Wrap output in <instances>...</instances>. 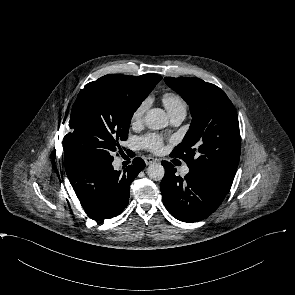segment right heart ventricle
I'll use <instances>...</instances> for the list:
<instances>
[{
	"instance_id": "1",
	"label": "right heart ventricle",
	"mask_w": 295,
	"mask_h": 295,
	"mask_svg": "<svg viewBox=\"0 0 295 295\" xmlns=\"http://www.w3.org/2000/svg\"><path fill=\"white\" fill-rule=\"evenodd\" d=\"M162 102L170 116L187 113L186 101L177 93L166 92L162 96Z\"/></svg>"
}]
</instances>
